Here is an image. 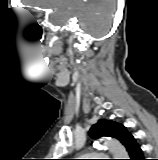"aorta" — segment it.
Returning a JSON list of instances; mask_svg holds the SVG:
<instances>
[{"instance_id":"obj_1","label":"aorta","mask_w":158,"mask_h":160,"mask_svg":"<svg viewBox=\"0 0 158 160\" xmlns=\"http://www.w3.org/2000/svg\"><path fill=\"white\" fill-rule=\"evenodd\" d=\"M98 146L106 147L114 159H128V153L125 147L116 139L103 138L97 142Z\"/></svg>"}]
</instances>
